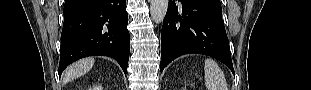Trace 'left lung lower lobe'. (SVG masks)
Listing matches in <instances>:
<instances>
[{
    "mask_svg": "<svg viewBox=\"0 0 311 90\" xmlns=\"http://www.w3.org/2000/svg\"><path fill=\"white\" fill-rule=\"evenodd\" d=\"M169 0L161 33L160 71L175 58L197 53L226 64L234 73L221 5L208 0Z\"/></svg>",
    "mask_w": 311,
    "mask_h": 90,
    "instance_id": "1",
    "label": "left lung lower lobe"
}]
</instances>
